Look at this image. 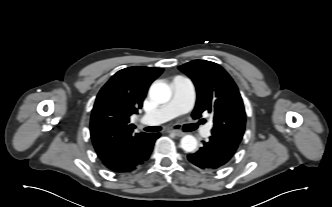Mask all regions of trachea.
Here are the masks:
<instances>
[{"instance_id":"trachea-1","label":"trachea","mask_w":332,"mask_h":207,"mask_svg":"<svg viewBox=\"0 0 332 207\" xmlns=\"http://www.w3.org/2000/svg\"><path fill=\"white\" fill-rule=\"evenodd\" d=\"M199 123L196 124H187L184 126V131H193L198 127ZM161 130V127L159 126H151V127H146L145 131L147 132H158Z\"/></svg>"}]
</instances>
